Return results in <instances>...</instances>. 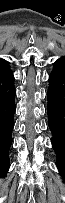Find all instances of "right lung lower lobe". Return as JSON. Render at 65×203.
I'll return each mask as SVG.
<instances>
[{
	"mask_svg": "<svg viewBox=\"0 0 65 203\" xmlns=\"http://www.w3.org/2000/svg\"><path fill=\"white\" fill-rule=\"evenodd\" d=\"M14 77L9 66H0V178L9 170L8 152L12 144L15 113Z\"/></svg>",
	"mask_w": 65,
	"mask_h": 203,
	"instance_id": "right-lung-lower-lobe-1",
	"label": "right lung lower lobe"
}]
</instances>
